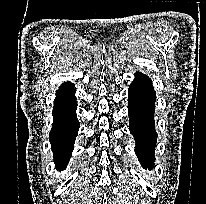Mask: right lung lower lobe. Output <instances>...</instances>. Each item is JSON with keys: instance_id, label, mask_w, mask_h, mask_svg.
<instances>
[{"instance_id": "1", "label": "right lung lower lobe", "mask_w": 206, "mask_h": 204, "mask_svg": "<svg viewBox=\"0 0 206 204\" xmlns=\"http://www.w3.org/2000/svg\"><path fill=\"white\" fill-rule=\"evenodd\" d=\"M76 89L64 83L56 92L53 110V127L50 142L58 169L66 167L71 157L80 123L76 116Z\"/></svg>"}]
</instances>
